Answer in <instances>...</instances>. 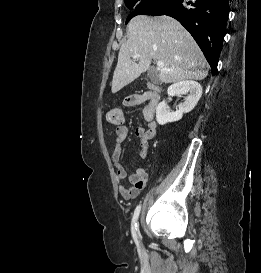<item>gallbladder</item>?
Returning <instances> with one entry per match:
<instances>
[{"instance_id": "1", "label": "gallbladder", "mask_w": 261, "mask_h": 273, "mask_svg": "<svg viewBox=\"0 0 261 273\" xmlns=\"http://www.w3.org/2000/svg\"><path fill=\"white\" fill-rule=\"evenodd\" d=\"M148 78L153 82V83H158V73L154 68H151L148 73H147Z\"/></svg>"}]
</instances>
